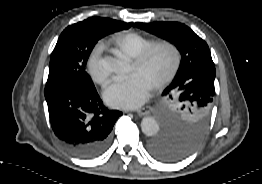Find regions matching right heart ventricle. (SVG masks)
<instances>
[{
  "label": "right heart ventricle",
  "instance_id": "1",
  "mask_svg": "<svg viewBox=\"0 0 262 184\" xmlns=\"http://www.w3.org/2000/svg\"><path fill=\"white\" fill-rule=\"evenodd\" d=\"M154 42L155 40L136 32L123 33L115 39V45L119 52L130 58H136L144 49Z\"/></svg>",
  "mask_w": 262,
  "mask_h": 184
}]
</instances>
